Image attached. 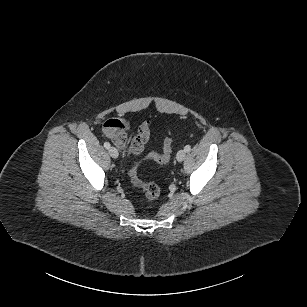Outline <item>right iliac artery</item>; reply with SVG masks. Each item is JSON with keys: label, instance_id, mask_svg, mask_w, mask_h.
<instances>
[{"label": "right iliac artery", "instance_id": "obj_1", "mask_svg": "<svg viewBox=\"0 0 307 307\" xmlns=\"http://www.w3.org/2000/svg\"><path fill=\"white\" fill-rule=\"evenodd\" d=\"M104 147H105L106 149H109V148H110V143H109V142H104Z\"/></svg>", "mask_w": 307, "mask_h": 307}]
</instances>
